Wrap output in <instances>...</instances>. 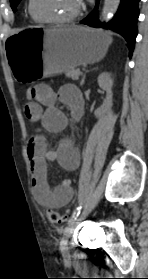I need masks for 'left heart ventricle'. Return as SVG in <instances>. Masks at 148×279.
Wrapping results in <instances>:
<instances>
[{
  "mask_svg": "<svg viewBox=\"0 0 148 279\" xmlns=\"http://www.w3.org/2000/svg\"><path fill=\"white\" fill-rule=\"evenodd\" d=\"M81 0H34V10L40 17L63 18L75 13Z\"/></svg>",
  "mask_w": 148,
  "mask_h": 279,
  "instance_id": "1",
  "label": "left heart ventricle"
}]
</instances>
